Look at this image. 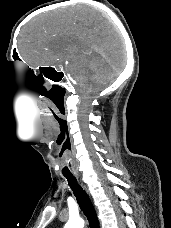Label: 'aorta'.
<instances>
[{"instance_id": "1", "label": "aorta", "mask_w": 171, "mask_h": 228, "mask_svg": "<svg viewBox=\"0 0 171 228\" xmlns=\"http://www.w3.org/2000/svg\"><path fill=\"white\" fill-rule=\"evenodd\" d=\"M64 228H84V221L81 218H70Z\"/></svg>"}]
</instances>
